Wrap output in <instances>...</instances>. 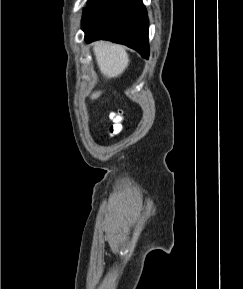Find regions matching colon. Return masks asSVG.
Here are the masks:
<instances>
[{"label":"colon","mask_w":243,"mask_h":289,"mask_svg":"<svg viewBox=\"0 0 243 289\" xmlns=\"http://www.w3.org/2000/svg\"><path fill=\"white\" fill-rule=\"evenodd\" d=\"M110 118L113 125L110 128V135H117L123 130V116L118 112H112Z\"/></svg>","instance_id":"colon-1"}]
</instances>
